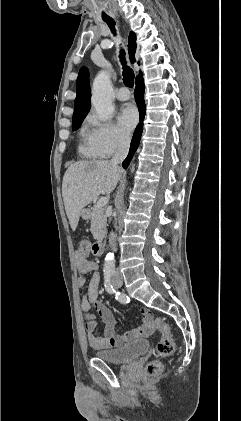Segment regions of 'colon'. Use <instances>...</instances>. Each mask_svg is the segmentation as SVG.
<instances>
[{
  "instance_id": "obj_1",
  "label": "colon",
  "mask_w": 241,
  "mask_h": 421,
  "mask_svg": "<svg viewBox=\"0 0 241 421\" xmlns=\"http://www.w3.org/2000/svg\"><path fill=\"white\" fill-rule=\"evenodd\" d=\"M78 253L84 256H89L93 253V244L88 240H81L78 244ZM154 324L157 330L160 332V341L157 344L156 350L160 358H166L173 354L175 345L171 335L169 325L162 319L156 318ZM163 368V364L160 360H153L146 366V374L148 377H154L158 375Z\"/></svg>"
}]
</instances>
